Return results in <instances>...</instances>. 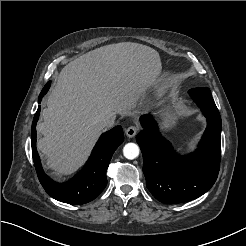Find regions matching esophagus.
<instances>
[{
  "mask_svg": "<svg viewBox=\"0 0 246 246\" xmlns=\"http://www.w3.org/2000/svg\"><path fill=\"white\" fill-rule=\"evenodd\" d=\"M138 132V128L135 127V126H130L126 129V135L129 137V138H132L134 137Z\"/></svg>",
  "mask_w": 246,
  "mask_h": 246,
  "instance_id": "34e87169",
  "label": "esophagus"
}]
</instances>
